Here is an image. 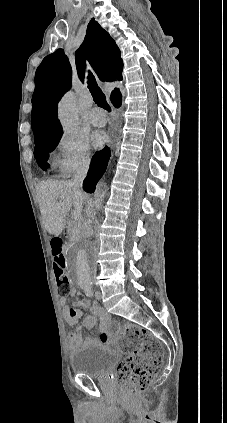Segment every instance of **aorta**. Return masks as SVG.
I'll list each match as a JSON object with an SVG mask.
<instances>
[{"instance_id":"762f6f07","label":"aorta","mask_w":227,"mask_h":423,"mask_svg":"<svg viewBox=\"0 0 227 423\" xmlns=\"http://www.w3.org/2000/svg\"><path fill=\"white\" fill-rule=\"evenodd\" d=\"M58 118L63 131L75 133L78 126V109L75 96L67 93L58 105ZM97 188L94 193L95 209H100L105 198V187ZM97 271V254L93 245L88 242L73 244L66 254V272L69 279L80 287L89 286Z\"/></svg>"}]
</instances>
